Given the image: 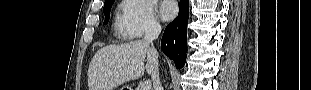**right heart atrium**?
I'll use <instances>...</instances> for the list:
<instances>
[{
	"mask_svg": "<svg viewBox=\"0 0 311 90\" xmlns=\"http://www.w3.org/2000/svg\"><path fill=\"white\" fill-rule=\"evenodd\" d=\"M119 35L135 40L148 33H156L161 24L154 5L148 0H123L116 23Z\"/></svg>",
	"mask_w": 311,
	"mask_h": 90,
	"instance_id": "right-heart-atrium-1",
	"label": "right heart atrium"
}]
</instances>
